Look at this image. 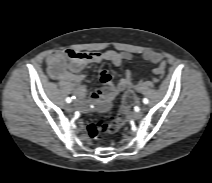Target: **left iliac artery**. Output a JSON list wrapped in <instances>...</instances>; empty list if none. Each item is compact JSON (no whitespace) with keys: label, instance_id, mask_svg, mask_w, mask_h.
<instances>
[{"label":"left iliac artery","instance_id":"44dca946","mask_svg":"<svg viewBox=\"0 0 212 183\" xmlns=\"http://www.w3.org/2000/svg\"><path fill=\"white\" fill-rule=\"evenodd\" d=\"M143 103H144V104H148V103H149L148 99H147V98H144V99H143Z\"/></svg>","mask_w":212,"mask_h":183}]
</instances>
